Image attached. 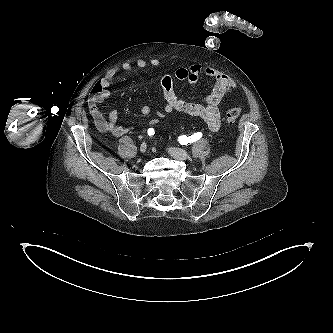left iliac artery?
<instances>
[{
	"label": "left iliac artery",
	"mask_w": 333,
	"mask_h": 333,
	"mask_svg": "<svg viewBox=\"0 0 333 333\" xmlns=\"http://www.w3.org/2000/svg\"><path fill=\"white\" fill-rule=\"evenodd\" d=\"M202 137L201 132L194 133L193 135L187 137L186 135L180 136L179 141L181 145H187L188 143L195 142Z\"/></svg>",
	"instance_id": "1"
}]
</instances>
